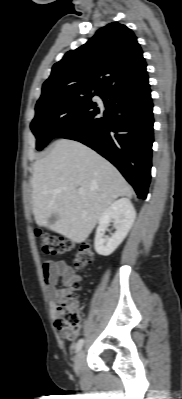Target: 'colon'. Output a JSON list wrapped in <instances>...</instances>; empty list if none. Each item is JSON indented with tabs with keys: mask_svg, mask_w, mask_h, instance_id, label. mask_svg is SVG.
I'll return each instance as SVG.
<instances>
[{
	"mask_svg": "<svg viewBox=\"0 0 182 399\" xmlns=\"http://www.w3.org/2000/svg\"><path fill=\"white\" fill-rule=\"evenodd\" d=\"M43 251L50 255H62L72 247V242L64 236L51 235L37 229ZM93 261V252L87 243H82L73 257V264L78 270L87 268ZM57 326L67 338H73L81 323V312L77 298L70 294L61 300L56 308Z\"/></svg>",
	"mask_w": 182,
	"mask_h": 399,
	"instance_id": "colon-1",
	"label": "colon"
}]
</instances>
